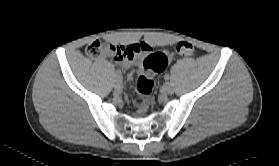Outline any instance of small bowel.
I'll use <instances>...</instances> for the list:
<instances>
[{
	"mask_svg": "<svg viewBox=\"0 0 279 166\" xmlns=\"http://www.w3.org/2000/svg\"><path fill=\"white\" fill-rule=\"evenodd\" d=\"M134 45H138L141 48L140 53H142V52H150L151 51V47L147 43L134 44ZM160 53L165 57V67H164V69H165L167 64L172 59L173 55H172V53H169V52H160ZM108 55L112 56L114 61L116 63H118L119 65H121L125 69H132L134 67H139L140 66L139 59L136 56L137 54H135L131 58H118V57H115L112 54H108ZM129 78H131V76H129Z\"/></svg>",
	"mask_w": 279,
	"mask_h": 166,
	"instance_id": "1",
	"label": "small bowel"
}]
</instances>
